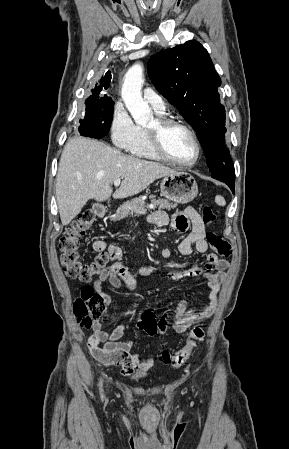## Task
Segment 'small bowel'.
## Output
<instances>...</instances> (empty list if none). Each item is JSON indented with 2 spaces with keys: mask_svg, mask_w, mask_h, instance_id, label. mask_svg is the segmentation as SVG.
<instances>
[{
  "mask_svg": "<svg viewBox=\"0 0 289 449\" xmlns=\"http://www.w3.org/2000/svg\"><path fill=\"white\" fill-rule=\"evenodd\" d=\"M149 222L154 226L162 227L169 223V217L165 212L158 211L149 216ZM170 224L179 233L185 232L191 224V232L178 246L181 255L188 256L194 249L198 253L207 252L209 246L206 240L205 224L193 207H187L183 212L175 213ZM93 249L96 252H106L111 261V264L98 275L93 283L95 292L102 296L106 304H110L111 297L105 289L106 282H109L114 288H119L123 283L129 290L135 288L136 282L123 264L120 247L109 244L105 240H96L93 243ZM161 254L164 258H170L172 251L165 248ZM208 262L209 265L205 267L195 265L189 269L169 272V278L173 281L203 276L207 280L208 287L206 303L200 310L189 311L186 300H181L178 303L174 322V330L177 333L186 332L193 324L211 317L216 310L218 293L228 267V261L225 258L209 255ZM149 272L150 268L142 269L144 274ZM126 325V322H122L108 333L102 328L100 320L95 321L93 333L87 341L88 348L94 358L101 363L121 366L124 374L146 373L153 368L155 359L141 360V351L131 353L134 342L120 340L124 335Z\"/></svg>",
  "mask_w": 289,
  "mask_h": 449,
  "instance_id": "c3829d8e",
  "label": "small bowel"
}]
</instances>
